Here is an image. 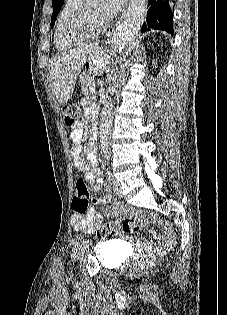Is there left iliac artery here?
<instances>
[{
    "label": "left iliac artery",
    "instance_id": "obj_1",
    "mask_svg": "<svg viewBox=\"0 0 227 315\" xmlns=\"http://www.w3.org/2000/svg\"><path fill=\"white\" fill-rule=\"evenodd\" d=\"M107 180L109 183L114 182V176L110 171H107ZM78 249H79V242H76V244L72 248V254H71L72 261H75V259L77 258Z\"/></svg>",
    "mask_w": 227,
    "mask_h": 315
}]
</instances>
